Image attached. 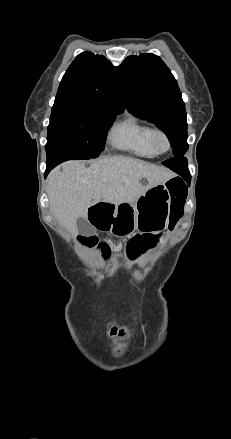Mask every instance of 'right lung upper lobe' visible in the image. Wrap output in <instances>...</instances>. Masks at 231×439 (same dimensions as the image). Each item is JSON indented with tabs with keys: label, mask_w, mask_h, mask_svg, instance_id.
Listing matches in <instances>:
<instances>
[{
	"label": "right lung upper lobe",
	"mask_w": 231,
	"mask_h": 439,
	"mask_svg": "<svg viewBox=\"0 0 231 439\" xmlns=\"http://www.w3.org/2000/svg\"><path fill=\"white\" fill-rule=\"evenodd\" d=\"M71 106L124 110L116 67L104 56L83 52L69 66L52 108Z\"/></svg>",
	"instance_id": "cb5924a9"
}]
</instances>
